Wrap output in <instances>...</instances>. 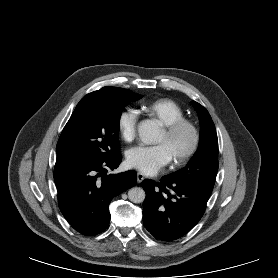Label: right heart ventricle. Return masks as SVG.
<instances>
[{
	"label": "right heart ventricle",
	"instance_id": "obj_1",
	"mask_svg": "<svg viewBox=\"0 0 278 278\" xmlns=\"http://www.w3.org/2000/svg\"><path fill=\"white\" fill-rule=\"evenodd\" d=\"M141 110L158 120L163 126H168L185 117L182 107L174 100L161 98L141 105Z\"/></svg>",
	"mask_w": 278,
	"mask_h": 278
}]
</instances>
